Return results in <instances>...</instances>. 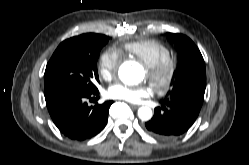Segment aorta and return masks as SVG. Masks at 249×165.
<instances>
[{"label":"aorta","mask_w":249,"mask_h":165,"mask_svg":"<svg viewBox=\"0 0 249 165\" xmlns=\"http://www.w3.org/2000/svg\"><path fill=\"white\" fill-rule=\"evenodd\" d=\"M118 74L123 82L131 85L138 84L141 81L143 67L137 62L127 61L120 66ZM138 117L147 121L152 117V110L149 107H140Z\"/></svg>","instance_id":"1"}]
</instances>
